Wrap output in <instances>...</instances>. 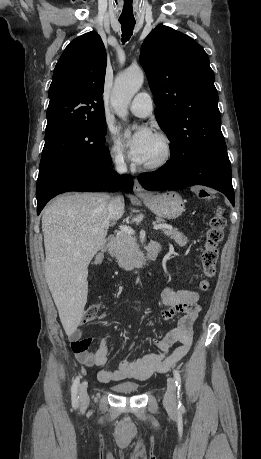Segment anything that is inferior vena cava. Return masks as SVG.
<instances>
[{
  "label": "inferior vena cava",
  "instance_id": "obj_1",
  "mask_svg": "<svg viewBox=\"0 0 261 459\" xmlns=\"http://www.w3.org/2000/svg\"><path fill=\"white\" fill-rule=\"evenodd\" d=\"M116 170L118 173H126L127 167L124 162L123 156H118L115 159ZM109 213L113 220H117L122 217L124 213V199L120 196H116L110 199L109 202Z\"/></svg>",
  "mask_w": 261,
  "mask_h": 459
}]
</instances>
